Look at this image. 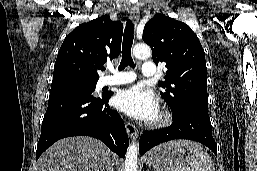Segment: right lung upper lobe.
I'll list each match as a JSON object with an SVG mask.
<instances>
[{
  "label": "right lung upper lobe",
  "mask_w": 257,
  "mask_h": 171,
  "mask_svg": "<svg viewBox=\"0 0 257 171\" xmlns=\"http://www.w3.org/2000/svg\"><path fill=\"white\" fill-rule=\"evenodd\" d=\"M123 24L103 15L76 27L63 41L54 66L53 86L97 82V70L118 57Z\"/></svg>",
  "instance_id": "right-lung-upper-lobe-1"
}]
</instances>
